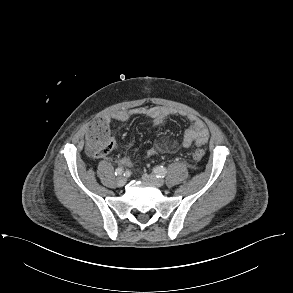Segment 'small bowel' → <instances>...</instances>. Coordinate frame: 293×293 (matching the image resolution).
Instances as JSON below:
<instances>
[{"mask_svg":"<svg viewBox=\"0 0 293 293\" xmlns=\"http://www.w3.org/2000/svg\"><path fill=\"white\" fill-rule=\"evenodd\" d=\"M178 114L174 109L160 107V106H151V107H138L130 110L124 111H112L103 116V120L109 124L112 121H125L134 116H142L151 120L154 126L161 125L168 117ZM181 116L185 117L190 126L184 134L183 137V146L188 148L192 143H196L199 146L206 144L209 140V131L205 123L191 115L184 112L179 113ZM114 140V146H115ZM168 148L166 146H154L149 148L146 151L147 156H153L158 152H166ZM120 163L124 166H131L132 160L130 157H122Z\"/></svg>","mask_w":293,"mask_h":293,"instance_id":"small-bowel-1","label":"small bowel"}]
</instances>
